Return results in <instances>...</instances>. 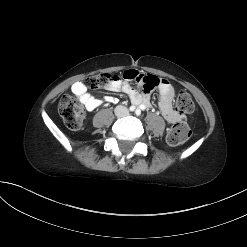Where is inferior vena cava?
<instances>
[{"mask_svg":"<svg viewBox=\"0 0 247 247\" xmlns=\"http://www.w3.org/2000/svg\"><path fill=\"white\" fill-rule=\"evenodd\" d=\"M115 114L118 117H124V116L129 114V111H128L127 107H124V106L120 105V106H117L115 108Z\"/></svg>","mask_w":247,"mask_h":247,"instance_id":"602c4592","label":"inferior vena cava"}]
</instances>
